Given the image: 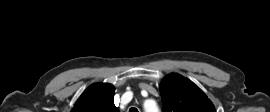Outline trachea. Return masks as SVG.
Listing matches in <instances>:
<instances>
[{
    "label": "trachea",
    "instance_id": "obj_1",
    "mask_svg": "<svg viewBox=\"0 0 270 112\" xmlns=\"http://www.w3.org/2000/svg\"><path fill=\"white\" fill-rule=\"evenodd\" d=\"M129 112H138V110L136 108L132 107L129 109Z\"/></svg>",
    "mask_w": 270,
    "mask_h": 112
}]
</instances>
